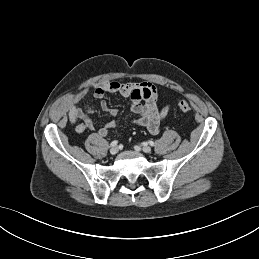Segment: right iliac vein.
I'll return each mask as SVG.
<instances>
[{"label": "right iliac vein", "mask_w": 259, "mask_h": 259, "mask_svg": "<svg viewBox=\"0 0 259 259\" xmlns=\"http://www.w3.org/2000/svg\"><path fill=\"white\" fill-rule=\"evenodd\" d=\"M117 152H118V147H112L111 149H110V153L112 154V155H115V154H117Z\"/></svg>", "instance_id": "63e3f726"}]
</instances>
